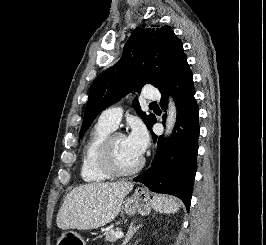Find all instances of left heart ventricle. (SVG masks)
Masks as SVG:
<instances>
[{"instance_id":"1","label":"left heart ventricle","mask_w":266,"mask_h":245,"mask_svg":"<svg viewBox=\"0 0 266 245\" xmlns=\"http://www.w3.org/2000/svg\"><path fill=\"white\" fill-rule=\"evenodd\" d=\"M112 157L114 165L119 171H129L139 161V158L129 149L124 136H118L114 139Z\"/></svg>"}]
</instances>
